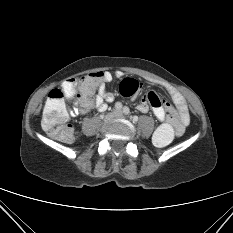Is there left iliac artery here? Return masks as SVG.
<instances>
[{
  "label": "left iliac artery",
  "mask_w": 233,
  "mask_h": 233,
  "mask_svg": "<svg viewBox=\"0 0 233 233\" xmlns=\"http://www.w3.org/2000/svg\"><path fill=\"white\" fill-rule=\"evenodd\" d=\"M129 112H130V111H129V108L125 106V107L123 108V113L127 115V114H129Z\"/></svg>",
  "instance_id": "44dca946"
}]
</instances>
